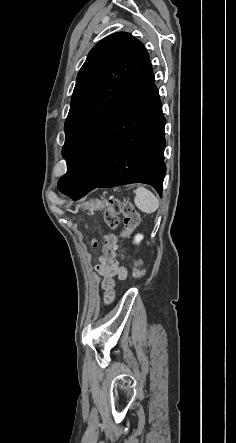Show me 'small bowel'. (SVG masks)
<instances>
[{
    "instance_id": "1",
    "label": "small bowel",
    "mask_w": 236,
    "mask_h": 443,
    "mask_svg": "<svg viewBox=\"0 0 236 443\" xmlns=\"http://www.w3.org/2000/svg\"><path fill=\"white\" fill-rule=\"evenodd\" d=\"M96 270L103 277L102 287L105 291V299L107 302H111L114 297L113 279L116 276L119 279H125L127 276V270L120 266L115 259H107L105 257L100 259V263L97 265Z\"/></svg>"
}]
</instances>
